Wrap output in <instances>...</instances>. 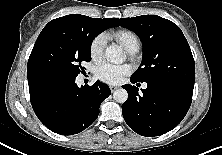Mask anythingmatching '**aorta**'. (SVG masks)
Masks as SVG:
<instances>
[{"instance_id": "1", "label": "aorta", "mask_w": 222, "mask_h": 155, "mask_svg": "<svg viewBox=\"0 0 222 155\" xmlns=\"http://www.w3.org/2000/svg\"><path fill=\"white\" fill-rule=\"evenodd\" d=\"M105 57L108 61L111 62H122L124 59V54L121 47L117 45H111L106 48ZM113 98L118 103H124L128 98V93L125 89L119 88L114 91Z\"/></svg>"}]
</instances>
